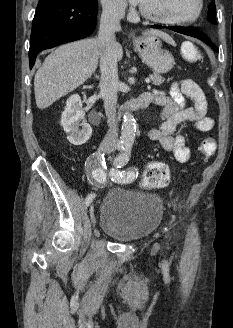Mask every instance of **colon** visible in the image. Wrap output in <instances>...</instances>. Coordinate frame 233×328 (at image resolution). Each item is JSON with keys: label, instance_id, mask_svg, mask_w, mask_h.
<instances>
[{"label": "colon", "instance_id": "5ec220e1", "mask_svg": "<svg viewBox=\"0 0 233 328\" xmlns=\"http://www.w3.org/2000/svg\"><path fill=\"white\" fill-rule=\"evenodd\" d=\"M183 57L190 62L199 60L200 53L192 43H186L182 47ZM200 151L205 161L209 160L216 151V143L213 138H206ZM170 172L168 167L161 162H151L146 166L142 175L141 186L145 189H158L165 187L169 183Z\"/></svg>", "mask_w": 233, "mask_h": 328}]
</instances>
